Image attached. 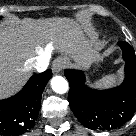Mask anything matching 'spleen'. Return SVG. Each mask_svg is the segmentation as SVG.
<instances>
[{"instance_id": "spleen-1", "label": "spleen", "mask_w": 136, "mask_h": 136, "mask_svg": "<svg viewBox=\"0 0 136 136\" xmlns=\"http://www.w3.org/2000/svg\"><path fill=\"white\" fill-rule=\"evenodd\" d=\"M112 82H113V78L111 76H107V77L103 78L99 83L104 84V85H108Z\"/></svg>"}]
</instances>
